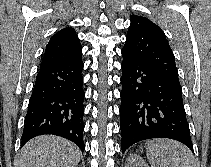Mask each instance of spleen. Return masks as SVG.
<instances>
[{
    "label": "spleen",
    "mask_w": 211,
    "mask_h": 167,
    "mask_svg": "<svg viewBox=\"0 0 211 167\" xmlns=\"http://www.w3.org/2000/svg\"><path fill=\"white\" fill-rule=\"evenodd\" d=\"M146 150L151 167H197L191 150L178 141L152 140Z\"/></svg>",
    "instance_id": "1"
}]
</instances>
